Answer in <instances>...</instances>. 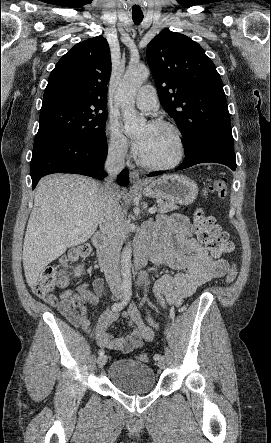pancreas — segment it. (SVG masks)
Masks as SVG:
<instances>
[{"label": "pancreas", "mask_w": 271, "mask_h": 443, "mask_svg": "<svg viewBox=\"0 0 271 443\" xmlns=\"http://www.w3.org/2000/svg\"><path fill=\"white\" fill-rule=\"evenodd\" d=\"M158 210L160 214H166V212L179 210V208L178 206H175L174 202H164V200H160V202H158Z\"/></svg>", "instance_id": "1"}]
</instances>
